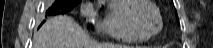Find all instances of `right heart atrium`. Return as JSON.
<instances>
[{
  "label": "right heart atrium",
  "mask_w": 213,
  "mask_h": 48,
  "mask_svg": "<svg viewBox=\"0 0 213 48\" xmlns=\"http://www.w3.org/2000/svg\"><path fill=\"white\" fill-rule=\"evenodd\" d=\"M96 11L92 3H85L81 8V15L85 20H91L96 16Z\"/></svg>",
  "instance_id": "obj_1"
}]
</instances>
